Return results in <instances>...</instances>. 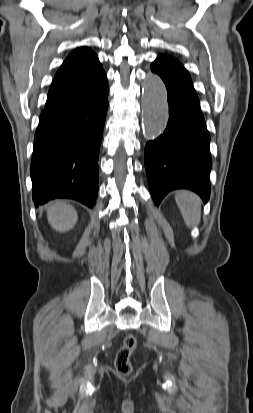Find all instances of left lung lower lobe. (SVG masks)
Instances as JSON below:
<instances>
[{
  "mask_svg": "<svg viewBox=\"0 0 253 413\" xmlns=\"http://www.w3.org/2000/svg\"><path fill=\"white\" fill-rule=\"evenodd\" d=\"M151 71L168 92L169 120L162 135L145 146L149 188L156 205L174 189L196 192L204 202L210 196V134L190 75L177 60L159 56Z\"/></svg>",
  "mask_w": 253,
  "mask_h": 413,
  "instance_id": "1",
  "label": "left lung lower lobe"
}]
</instances>
